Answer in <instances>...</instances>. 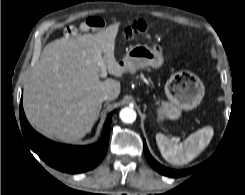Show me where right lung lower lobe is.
I'll return each instance as SVG.
<instances>
[{"label":"right lung lower lobe","instance_id":"1","mask_svg":"<svg viewBox=\"0 0 245 195\" xmlns=\"http://www.w3.org/2000/svg\"><path fill=\"white\" fill-rule=\"evenodd\" d=\"M22 132L30 148L49 166L70 174L82 173L96 167L104 158L108 148L111 117L110 113L103 127L98 143L89 146H71L50 141L37 133L28 123L22 106L19 108Z\"/></svg>","mask_w":245,"mask_h":195}]
</instances>
